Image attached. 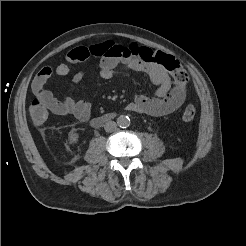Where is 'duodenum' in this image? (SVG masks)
Returning <instances> with one entry per match:
<instances>
[{
	"instance_id": "duodenum-1",
	"label": "duodenum",
	"mask_w": 246,
	"mask_h": 246,
	"mask_svg": "<svg viewBox=\"0 0 246 246\" xmlns=\"http://www.w3.org/2000/svg\"><path fill=\"white\" fill-rule=\"evenodd\" d=\"M114 115L113 114H105L102 115L100 117H96L92 120V124L96 127L101 126L102 124L110 121L111 119H113Z\"/></svg>"
}]
</instances>
